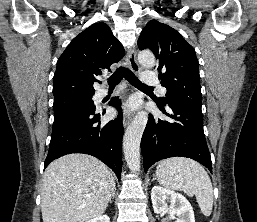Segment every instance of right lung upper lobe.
Masks as SVG:
<instances>
[{"mask_svg":"<svg viewBox=\"0 0 257 222\" xmlns=\"http://www.w3.org/2000/svg\"><path fill=\"white\" fill-rule=\"evenodd\" d=\"M125 50L105 23H95L76 36L57 61L54 102L93 96L95 76L121 60Z\"/></svg>","mask_w":257,"mask_h":222,"instance_id":"1","label":"right lung upper lobe"}]
</instances>
